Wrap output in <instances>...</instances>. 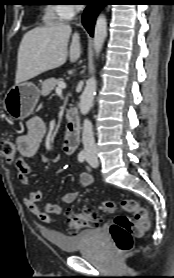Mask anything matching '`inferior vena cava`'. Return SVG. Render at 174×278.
<instances>
[{
  "instance_id": "602c4592",
  "label": "inferior vena cava",
  "mask_w": 174,
  "mask_h": 278,
  "mask_svg": "<svg viewBox=\"0 0 174 278\" xmlns=\"http://www.w3.org/2000/svg\"><path fill=\"white\" fill-rule=\"evenodd\" d=\"M76 10L81 11L82 5H77ZM82 141H83L84 151L87 155L97 153V148L93 136L92 123L87 119H85L83 123Z\"/></svg>"
}]
</instances>
